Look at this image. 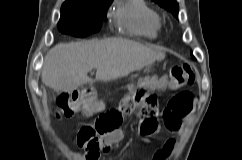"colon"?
<instances>
[{
    "instance_id": "1",
    "label": "colon",
    "mask_w": 242,
    "mask_h": 160,
    "mask_svg": "<svg viewBox=\"0 0 242 160\" xmlns=\"http://www.w3.org/2000/svg\"><path fill=\"white\" fill-rule=\"evenodd\" d=\"M195 81V74L190 64L173 66L166 75L153 77L135 86L126 102L124 110L133 108L141 116L143 134H153L158 129L157 98L155 91L181 90ZM192 95L188 91L178 92L168 103L164 111V119L168 127H174L179 118L188 114L192 108ZM96 97L92 91L61 94L56 101V115L59 118H72L78 113L97 109ZM123 111L111 109L102 112L91 124L84 125L79 130L82 146L92 150L99 147V139L116 129L122 123Z\"/></svg>"
}]
</instances>
